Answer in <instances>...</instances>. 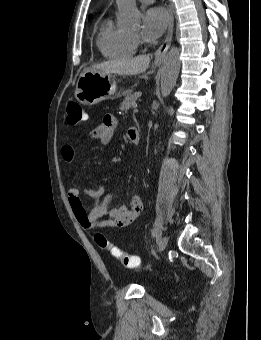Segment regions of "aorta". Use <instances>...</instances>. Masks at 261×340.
I'll return each instance as SVG.
<instances>
[{"instance_id":"762f6f07","label":"aorta","mask_w":261,"mask_h":340,"mask_svg":"<svg viewBox=\"0 0 261 340\" xmlns=\"http://www.w3.org/2000/svg\"><path fill=\"white\" fill-rule=\"evenodd\" d=\"M118 6V21L126 27H137L140 24V13L135 0H116ZM180 71V53L177 47H172L167 53L160 79L161 96L166 98L174 88Z\"/></svg>"}]
</instances>
